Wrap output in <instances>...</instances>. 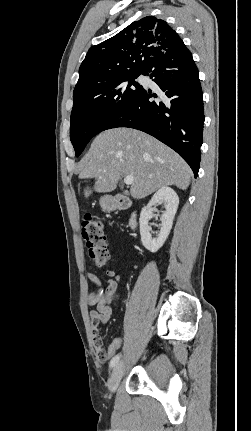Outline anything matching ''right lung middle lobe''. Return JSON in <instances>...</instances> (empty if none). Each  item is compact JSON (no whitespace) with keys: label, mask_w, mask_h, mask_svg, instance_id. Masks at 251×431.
Wrapping results in <instances>:
<instances>
[{"label":"right lung middle lobe","mask_w":251,"mask_h":431,"mask_svg":"<svg viewBox=\"0 0 251 431\" xmlns=\"http://www.w3.org/2000/svg\"><path fill=\"white\" fill-rule=\"evenodd\" d=\"M133 72L73 95L70 139L79 156L92 137L105 130L109 121L143 88Z\"/></svg>","instance_id":"obj_1"}]
</instances>
